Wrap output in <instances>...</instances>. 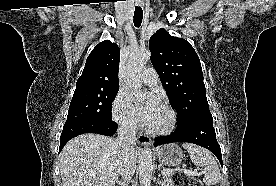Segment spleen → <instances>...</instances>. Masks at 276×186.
I'll list each match as a JSON object with an SVG mask.
<instances>
[{"label":"spleen","mask_w":276,"mask_h":186,"mask_svg":"<svg viewBox=\"0 0 276 186\" xmlns=\"http://www.w3.org/2000/svg\"><path fill=\"white\" fill-rule=\"evenodd\" d=\"M183 148L188 151L194 165L204 168L205 174L203 182L207 186L216 185L220 182V170L210 151L189 143H184Z\"/></svg>","instance_id":"3e777b00"}]
</instances>
